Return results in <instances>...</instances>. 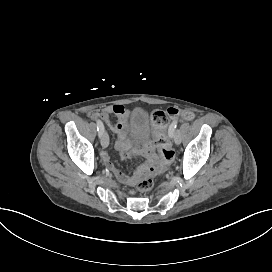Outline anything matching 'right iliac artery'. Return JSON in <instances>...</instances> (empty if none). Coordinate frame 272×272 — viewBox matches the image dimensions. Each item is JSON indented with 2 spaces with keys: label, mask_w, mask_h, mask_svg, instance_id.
Returning <instances> with one entry per match:
<instances>
[{
  "label": "right iliac artery",
  "mask_w": 272,
  "mask_h": 272,
  "mask_svg": "<svg viewBox=\"0 0 272 272\" xmlns=\"http://www.w3.org/2000/svg\"><path fill=\"white\" fill-rule=\"evenodd\" d=\"M97 131L99 132V137L101 136L102 132L104 131V125L101 120H97Z\"/></svg>",
  "instance_id": "obj_1"
}]
</instances>
